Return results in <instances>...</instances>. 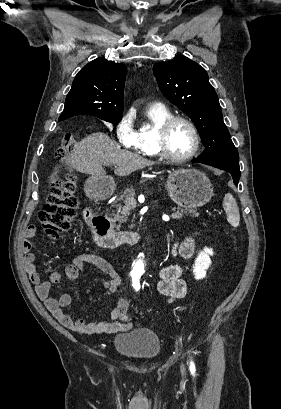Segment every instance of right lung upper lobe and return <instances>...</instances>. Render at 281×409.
Listing matches in <instances>:
<instances>
[{"instance_id":"cb5924a9","label":"right lung upper lobe","mask_w":281,"mask_h":409,"mask_svg":"<svg viewBox=\"0 0 281 409\" xmlns=\"http://www.w3.org/2000/svg\"><path fill=\"white\" fill-rule=\"evenodd\" d=\"M127 69L123 64L97 58L78 72L59 121L75 115H123V90Z\"/></svg>"}]
</instances>
